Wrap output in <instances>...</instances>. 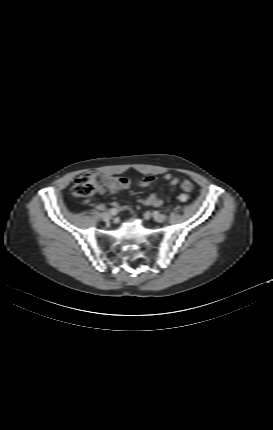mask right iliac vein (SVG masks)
<instances>
[{
	"label": "right iliac vein",
	"mask_w": 273,
	"mask_h": 430,
	"mask_svg": "<svg viewBox=\"0 0 273 430\" xmlns=\"http://www.w3.org/2000/svg\"><path fill=\"white\" fill-rule=\"evenodd\" d=\"M111 216H112V213L110 211L109 212H103L100 214V218L103 221H109L111 219Z\"/></svg>",
	"instance_id": "1"
}]
</instances>
